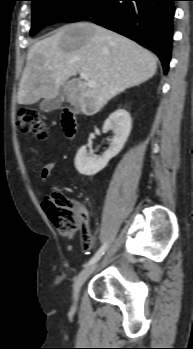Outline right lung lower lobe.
Listing matches in <instances>:
<instances>
[{"mask_svg": "<svg viewBox=\"0 0 193 349\" xmlns=\"http://www.w3.org/2000/svg\"><path fill=\"white\" fill-rule=\"evenodd\" d=\"M175 0H101L83 19L120 33L155 52L167 73ZM82 19V20H83Z\"/></svg>", "mask_w": 193, "mask_h": 349, "instance_id": "obj_1", "label": "right lung lower lobe"}]
</instances>
